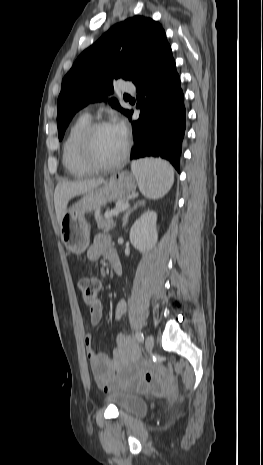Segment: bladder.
I'll use <instances>...</instances> for the list:
<instances>
[{"label": "bladder", "instance_id": "obj_1", "mask_svg": "<svg viewBox=\"0 0 263 465\" xmlns=\"http://www.w3.org/2000/svg\"><path fill=\"white\" fill-rule=\"evenodd\" d=\"M106 400L124 414L143 416L148 409L147 402L141 396L129 392L111 393Z\"/></svg>", "mask_w": 263, "mask_h": 465}]
</instances>
